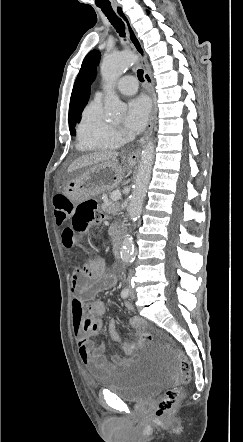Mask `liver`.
I'll list each match as a JSON object with an SVG mask.
<instances>
[{"label":"liver","mask_w":243,"mask_h":442,"mask_svg":"<svg viewBox=\"0 0 243 442\" xmlns=\"http://www.w3.org/2000/svg\"><path fill=\"white\" fill-rule=\"evenodd\" d=\"M118 153L114 151H99L90 153L76 159L68 168V173L76 171L78 169L96 165L107 161H116Z\"/></svg>","instance_id":"1"}]
</instances>
